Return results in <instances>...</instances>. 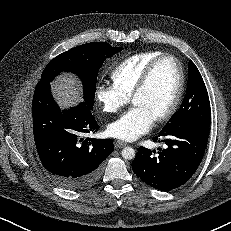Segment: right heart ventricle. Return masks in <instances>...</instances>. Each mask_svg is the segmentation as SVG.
Returning a JSON list of instances; mask_svg holds the SVG:
<instances>
[{
    "label": "right heart ventricle",
    "mask_w": 231,
    "mask_h": 231,
    "mask_svg": "<svg viewBox=\"0 0 231 231\" xmlns=\"http://www.w3.org/2000/svg\"><path fill=\"white\" fill-rule=\"evenodd\" d=\"M160 54L162 52L148 51L127 58L112 72L113 84L122 94L130 98L147 65Z\"/></svg>",
    "instance_id": "obj_1"
}]
</instances>
